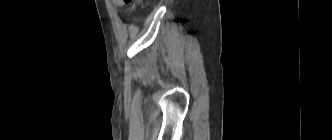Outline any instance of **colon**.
I'll return each instance as SVG.
<instances>
[{
    "instance_id": "1",
    "label": "colon",
    "mask_w": 332,
    "mask_h": 140,
    "mask_svg": "<svg viewBox=\"0 0 332 140\" xmlns=\"http://www.w3.org/2000/svg\"><path fill=\"white\" fill-rule=\"evenodd\" d=\"M142 0H113V3L117 6V7H123L125 5H129V4H139Z\"/></svg>"
}]
</instances>
